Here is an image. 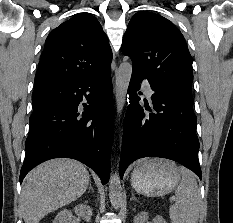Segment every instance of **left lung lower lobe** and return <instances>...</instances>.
Segmentation results:
<instances>
[{"label":"left lung lower lobe","mask_w":233,"mask_h":223,"mask_svg":"<svg viewBox=\"0 0 233 223\" xmlns=\"http://www.w3.org/2000/svg\"><path fill=\"white\" fill-rule=\"evenodd\" d=\"M144 78L141 72L133 68L128 87L130 105L124 119L120 177L136 159L162 157L182 164L202 179L194 99L153 90L151 99L156 112H146L139 105L137 95ZM146 109L150 111V108Z\"/></svg>","instance_id":"obj_1"}]
</instances>
